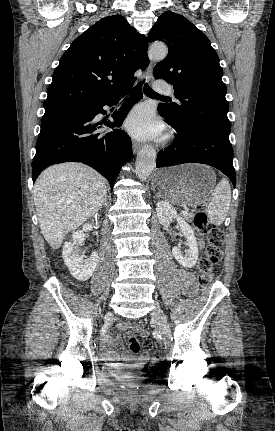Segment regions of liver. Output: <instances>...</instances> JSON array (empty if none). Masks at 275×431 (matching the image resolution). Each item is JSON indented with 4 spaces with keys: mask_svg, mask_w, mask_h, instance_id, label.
<instances>
[{
    "mask_svg": "<svg viewBox=\"0 0 275 431\" xmlns=\"http://www.w3.org/2000/svg\"><path fill=\"white\" fill-rule=\"evenodd\" d=\"M105 179L81 163H62L44 170L34 185L33 197L41 233L53 249L103 205Z\"/></svg>",
    "mask_w": 275,
    "mask_h": 431,
    "instance_id": "1",
    "label": "liver"
}]
</instances>
